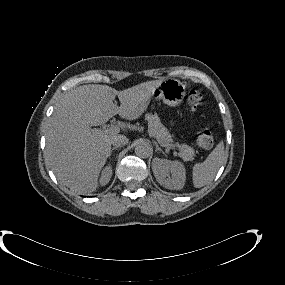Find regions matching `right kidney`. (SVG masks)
Wrapping results in <instances>:
<instances>
[{
    "label": "right kidney",
    "instance_id": "1",
    "mask_svg": "<svg viewBox=\"0 0 285 285\" xmlns=\"http://www.w3.org/2000/svg\"><path fill=\"white\" fill-rule=\"evenodd\" d=\"M111 176H112V167L106 166L101 173L100 184L102 186L106 185L110 181Z\"/></svg>",
    "mask_w": 285,
    "mask_h": 285
}]
</instances>
